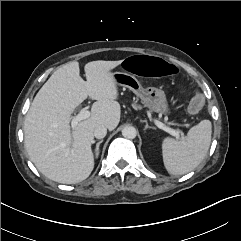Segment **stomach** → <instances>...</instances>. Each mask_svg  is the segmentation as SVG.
<instances>
[{
    "label": "stomach",
    "mask_w": 241,
    "mask_h": 241,
    "mask_svg": "<svg viewBox=\"0 0 241 241\" xmlns=\"http://www.w3.org/2000/svg\"><path fill=\"white\" fill-rule=\"evenodd\" d=\"M112 75L116 84L132 90L137 97L141 99L142 104L150 111L160 114L170 113L166 95L163 90L155 87L143 88L133 73L114 72Z\"/></svg>",
    "instance_id": "1"
}]
</instances>
